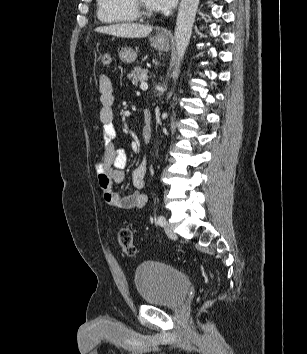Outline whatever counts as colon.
<instances>
[{
    "label": "colon",
    "mask_w": 307,
    "mask_h": 354,
    "mask_svg": "<svg viewBox=\"0 0 307 354\" xmlns=\"http://www.w3.org/2000/svg\"><path fill=\"white\" fill-rule=\"evenodd\" d=\"M112 62V55L110 53H104L101 56V63L104 66L110 65ZM118 244L121 250L128 256H134L136 254V247L133 240V234L128 226H122L118 231Z\"/></svg>",
    "instance_id": "colon-1"
}]
</instances>
